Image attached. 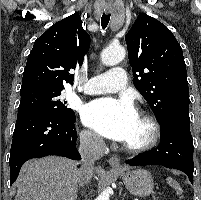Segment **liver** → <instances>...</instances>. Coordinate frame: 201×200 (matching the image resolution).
<instances>
[{"mask_svg":"<svg viewBox=\"0 0 201 200\" xmlns=\"http://www.w3.org/2000/svg\"><path fill=\"white\" fill-rule=\"evenodd\" d=\"M79 179L72 160L48 156L29 161L18 178L15 200H76Z\"/></svg>","mask_w":201,"mask_h":200,"instance_id":"liver-1","label":"liver"}]
</instances>
